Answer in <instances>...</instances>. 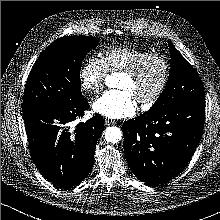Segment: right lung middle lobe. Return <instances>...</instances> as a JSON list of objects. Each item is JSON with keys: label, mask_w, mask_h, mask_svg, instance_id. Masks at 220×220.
<instances>
[{"label": "right lung middle lobe", "mask_w": 220, "mask_h": 220, "mask_svg": "<svg viewBox=\"0 0 220 220\" xmlns=\"http://www.w3.org/2000/svg\"><path fill=\"white\" fill-rule=\"evenodd\" d=\"M99 45L87 36L56 39L40 55L28 76L23 109L44 105L71 106L83 99L80 69L85 55Z\"/></svg>", "instance_id": "dd1d6c3e"}]
</instances>
